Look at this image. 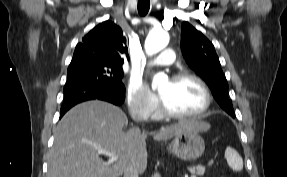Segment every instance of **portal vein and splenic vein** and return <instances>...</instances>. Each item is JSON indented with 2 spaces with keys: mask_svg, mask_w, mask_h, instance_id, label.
I'll return each mask as SVG.
<instances>
[{
  "mask_svg": "<svg viewBox=\"0 0 287 177\" xmlns=\"http://www.w3.org/2000/svg\"><path fill=\"white\" fill-rule=\"evenodd\" d=\"M97 151H98L99 154H103V155L108 156L110 162H115V161L118 160V157L114 153H112V152H110V151H108L106 149L98 148ZM191 177H196V176L193 175Z\"/></svg>",
  "mask_w": 287,
  "mask_h": 177,
  "instance_id": "1",
  "label": "portal vein and splenic vein"
}]
</instances>
